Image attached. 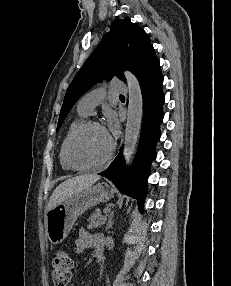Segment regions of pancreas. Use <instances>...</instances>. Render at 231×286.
Listing matches in <instances>:
<instances>
[{
	"instance_id": "pancreas-1",
	"label": "pancreas",
	"mask_w": 231,
	"mask_h": 286,
	"mask_svg": "<svg viewBox=\"0 0 231 286\" xmlns=\"http://www.w3.org/2000/svg\"><path fill=\"white\" fill-rule=\"evenodd\" d=\"M105 220L106 215L102 216L100 211H96L89 217V224L87 225V229H95L97 227H100L105 223Z\"/></svg>"
}]
</instances>
